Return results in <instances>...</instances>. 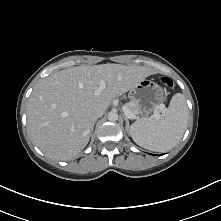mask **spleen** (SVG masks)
<instances>
[{"label":"spleen","mask_w":221,"mask_h":221,"mask_svg":"<svg viewBox=\"0 0 221 221\" xmlns=\"http://www.w3.org/2000/svg\"><path fill=\"white\" fill-rule=\"evenodd\" d=\"M188 121V107L181 93L175 94L160 120L143 117L134 122L129 134L139 146L156 152H166L181 140Z\"/></svg>","instance_id":"spleen-1"}]
</instances>
